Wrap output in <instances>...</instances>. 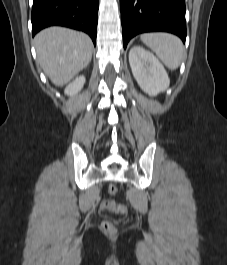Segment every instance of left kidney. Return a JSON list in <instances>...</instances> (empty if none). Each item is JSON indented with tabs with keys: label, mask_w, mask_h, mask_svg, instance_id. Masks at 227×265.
<instances>
[{
	"label": "left kidney",
	"mask_w": 227,
	"mask_h": 265,
	"mask_svg": "<svg viewBox=\"0 0 227 265\" xmlns=\"http://www.w3.org/2000/svg\"><path fill=\"white\" fill-rule=\"evenodd\" d=\"M129 63L138 85L150 96H156L169 87L170 80L163 65L143 47L130 49Z\"/></svg>",
	"instance_id": "1"
}]
</instances>
